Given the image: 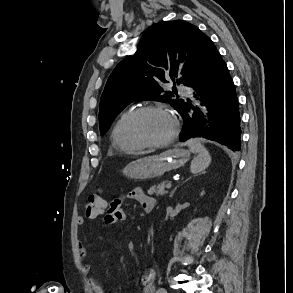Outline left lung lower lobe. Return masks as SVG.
Listing matches in <instances>:
<instances>
[{"instance_id":"obj_1","label":"left lung lower lobe","mask_w":293,"mask_h":293,"mask_svg":"<svg viewBox=\"0 0 293 293\" xmlns=\"http://www.w3.org/2000/svg\"><path fill=\"white\" fill-rule=\"evenodd\" d=\"M182 99L178 112L185 120L180 141L203 137L240 150L238 98L227 65L210 40L197 83Z\"/></svg>"}]
</instances>
